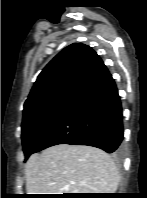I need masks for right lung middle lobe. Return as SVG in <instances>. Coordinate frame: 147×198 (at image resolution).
<instances>
[{
    "label": "right lung middle lobe",
    "instance_id": "right-lung-middle-lobe-1",
    "mask_svg": "<svg viewBox=\"0 0 147 198\" xmlns=\"http://www.w3.org/2000/svg\"><path fill=\"white\" fill-rule=\"evenodd\" d=\"M74 104L75 102L58 101L45 104L24 114L21 137L26 159L34 153L39 142Z\"/></svg>",
    "mask_w": 147,
    "mask_h": 198
}]
</instances>
